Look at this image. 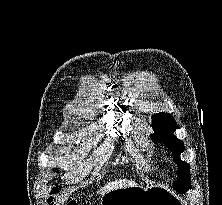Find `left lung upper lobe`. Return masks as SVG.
<instances>
[{
    "label": "left lung upper lobe",
    "instance_id": "obj_1",
    "mask_svg": "<svg viewBox=\"0 0 222 205\" xmlns=\"http://www.w3.org/2000/svg\"><path fill=\"white\" fill-rule=\"evenodd\" d=\"M152 127L154 134L151 135V139L154 142H163L165 147L172 151L173 158L178 163L180 178L174 182V188L179 193H185L191 188L190 170L189 164L180 159V154L184 151V143L173 135L177 129L173 116L164 112L153 115Z\"/></svg>",
    "mask_w": 222,
    "mask_h": 205
}]
</instances>
